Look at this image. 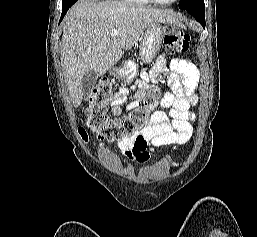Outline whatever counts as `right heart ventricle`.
<instances>
[{
    "label": "right heart ventricle",
    "mask_w": 257,
    "mask_h": 237,
    "mask_svg": "<svg viewBox=\"0 0 257 237\" xmlns=\"http://www.w3.org/2000/svg\"><path fill=\"white\" fill-rule=\"evenodd\" d=\"M124 2H130V3H138V4H147L149 3V0H122Z\"/></svg>",
    "instance_id": "obj_1"
}]
</instances>
